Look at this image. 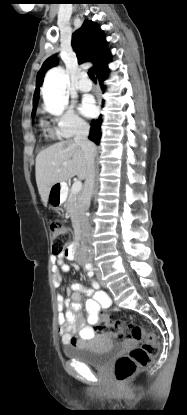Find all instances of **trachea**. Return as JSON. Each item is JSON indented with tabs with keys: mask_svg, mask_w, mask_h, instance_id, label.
Masks as SVG:
<instances>
[{
	"mask_svg": "<svg viewBox=\"0 0 187 415\" xmlns=\"http://www.w3.org/2000/svg\"><path fill=\"white\" fill-rule=\"evenodd\" d=\"M88 76L90 77L91 80L96 81V77H95V75H94V73H93L92 70H89L88 71Z\"/></svg>",
	"mask_w": 187,
	"mask_h": 415,
	"instance_id": "1",
	"label": "trachea"
}]
</instances>
